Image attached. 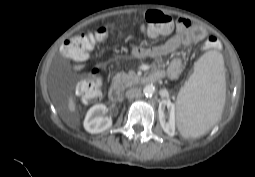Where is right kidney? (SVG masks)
<instances>
[{
	"label": "right kidney",
	"mask_w": 255,
	"mask_h": 177,
	"mask_svg": "<svg viewBox=\"0 0 255 177\" xmlns=\"http://www.w3.org/2000/svg\"><path fill=\"white\" fill-rule=\"evenodd\" d=\"M106 109L105 104H96L88 110L83 123L87 132L97 134L112 126V119L110 117H103Z\"/></svg>",
	"instance_id": "obj_1"
}]
</instances>
